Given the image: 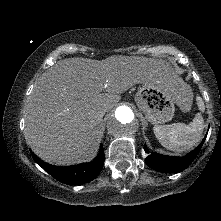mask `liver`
<instances>
[{"label": "liver", "mask_w": 221, "mask_h": 221, "mask_svg": "<svg viewBox=\"0 0 221 221\" xmlns=\"http://www.w3.org/2000/svg\"><path fill=\"white\" fill-rule=\"evenodd\" d=\"M172 75L166 61L140 56L59 60L41 75L27 98L26 142L50 164L88 161L97 150L101 132L97 112L111 110L120 94L135 84L168 81Z\"/></svg>", "instance_id": "liver-1"}]
</instances>
